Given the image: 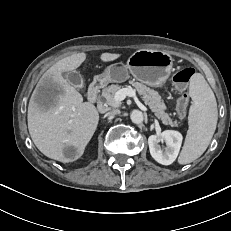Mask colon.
<instances>
[{"instance_id":"obj_1","label":"colon","mask_w":231,"mask_h":231,"mask_svg":"<svg viewBox=\"0 0 231 231\" xmlns=\"http://www.w3.org/2000/svg\"><path fill=\"white\" fill-rule=\"evenodd\" d=\"M193 75L194 69L186 67L176 72L173 76V82L175 86L182 92L177 101V112L180 117H184L187 112L189 96L185 90Z\"/></svg>"}]
</instances>
